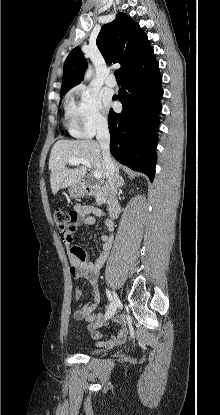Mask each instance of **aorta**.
Here are the masks:
<instances>
[{"mask_svg": "<svg viewBox=\"0 0 220 415\" xmlns=\"http://www.w3.org/2000/svg\"><path fill=\"white\" fill-rule=\"evenodd\" d=\"M93 70L91 68H89L85 74V80H89L92 76Z\"/></svg>", "mask_w": 220, "mask_h": 415, "instance_id": "obj_1", "label": "aorta"}]
</instances>
